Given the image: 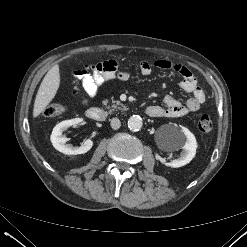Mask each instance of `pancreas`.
<instances>
[{
	"label": "pancreas",
	"mask_w": 247,
	"mask_h": 247,
	"mask_svg": "<svg viewBox=\"0 0 247 247\" xmlns=\"http://www.w3.org/2000/svg\"><path fill=\"white\" fill-rule=\"evenodd\" d=\"M107 102H108V100H105V101H103V104L106 105ZM114 103H115V104H113V105L111 106L112 110H114V109H122V110H126L125 106H124L120 101H114ZM118 105H120V106L123 107V108L118 107Z\"/></svg>",
	"instance_id": "pancreas-1"
}]
</instances>
